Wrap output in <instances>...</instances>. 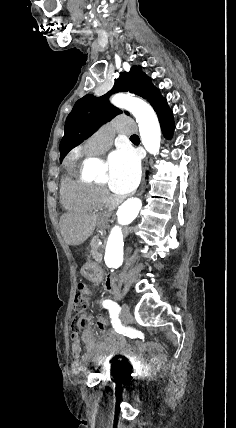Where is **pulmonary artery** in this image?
Masks as SVG:
<instances>
[{"label":"pulmonary artery","mask_w":236,"mask_h":428,"mask_svg":"<svg viewBox=\"0 0 236 428\" xmlns=\"http://www.w3.org/2000/svg\"><path fill=\"white\" fill-rule=\"evenodd\" d=\"M109 147V145L105 144H94L93 142H88L84 146V150L89 156H95L100 154L105 148Z\"/></svg>","instance_id":"e3ab8cb5"}]
</instances>
